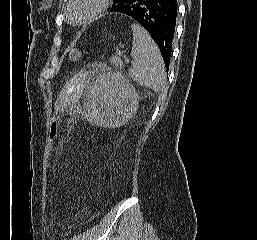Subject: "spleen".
Listing matches in <instances>:
<instances>
[{"mask_svg":"<svg viewBox=\"0 0 257 240\" xmlns=\"http://www.w3.org/2000/svg\"><path fill=\"white\" fill-rule=\"evenodd\" d=\"M134 59L129 76L139 85L155 92L164 90L166 85L165 66L159 48L148 32L140 25L132 24Z\"/></svg>","mask_w":257,"mask_h":240,"instance_id":"spleen-1","label":"spleen"}]
</instances>
